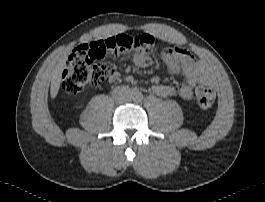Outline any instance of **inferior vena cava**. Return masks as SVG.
<instances>
[{
    "label": "inferior vena cava",
    "mask_w": 265,
    "mask_h": 202,
    "mask_svg": "<svg viewBox=\"0 0 265 202\" xmlns=\"http://www.w3.org/2000/svg\"><path fill=\"white\" fill-rule=\"evenodd\" d=\"M112 96L116 102L123 103L130 100L131 92L126 86H118L113 90Z\"/></svg>",
    "instance_id": "obj_1"
}]
</instances>
